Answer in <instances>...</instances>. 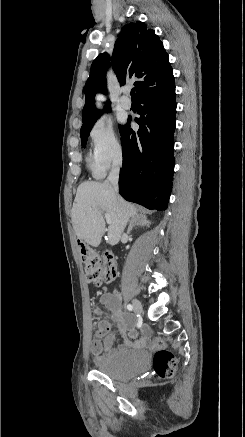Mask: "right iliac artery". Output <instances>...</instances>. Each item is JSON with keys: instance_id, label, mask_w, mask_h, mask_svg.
I'll return each mask as SVG.
<instances>
[{"instance_id": "1", "label": "right iliac artery", "mask_w": 245, "mask_h": 437, "mask_svg": "<svg viewBox=\"0 0 245 437\" xmlns=\"http://www.w3.org/2000/svg\"><path fill=\"white\" fill-rule=\"evenodd\" d=\"M127 309H128L129 311H132V310H133V306H132L131 304H128V305H127Z\"/></svg>"}]
</instances>
